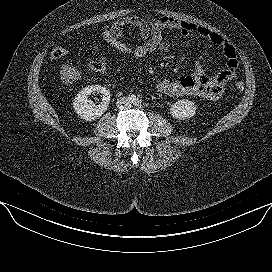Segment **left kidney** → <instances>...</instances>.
<instances>
[{
    "label": "left kidney",
    "mask_w": 272,
    "mask_h": 272,
    "mask_svg": "<svg viewBox=\"0 0 272 272\" xmlns=\"http://www.w3.org/2000/svg\"><path fill=\"white\" fill-rule=\"evenodd\" d=\"M196 109L197 107L192 101L183 99L171 106L170 113L174 118L184 120L193 117Z\"/></svg>",
    "instance_id": "5707ae66"
}]
</instances>
